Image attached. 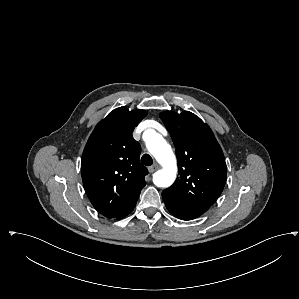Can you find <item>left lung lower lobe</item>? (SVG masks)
<instances>
[{"mask_svg": "<svg viewBox=\"0 0 299 299\" xmlns=\"http://www.w3.org/2000/svg\"><path fill=\"white\" fill-rule=\"evenodd\" d=\"M162 197L168 211L181 220H193L203 214L184 205L168 193L162 192Z\"/></svg>", "mask_w": 299, "mask_h": 299, "instance_id": "left-lung-lower-lobe-1", "label": "left lung lower lobe"}]
</instances>
